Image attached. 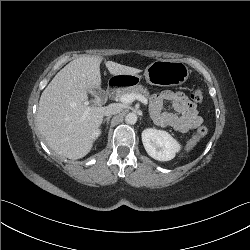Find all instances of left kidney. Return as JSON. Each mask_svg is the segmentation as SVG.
I'll use <instances>...</instances> for the list:
<instances>
[{
	"label": "left kidney",
	"instance_id": "obj_1",
	"mask_svg": "<svg viewBox=\"0 0 250 250\" xmlns=\"http://www.w3.org/2000/svg\"><path fill=\"white\" fill-rule=\"evenodd\" d=\"M143 146L153 159L169 161L180 151L181 145L166 131L153 128L142 132Z\"/></svg>",
	"mask_w": 250,
	"mask_h": 250
}]
</instances>
